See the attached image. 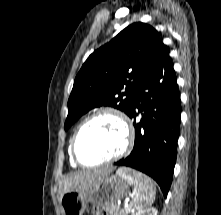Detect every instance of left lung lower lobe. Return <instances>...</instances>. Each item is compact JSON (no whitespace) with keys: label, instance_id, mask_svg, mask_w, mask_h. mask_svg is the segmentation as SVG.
Masks as SVG:
<instances>
[{"label":"left lung lower lobe","instance_id":"left-lung-lower-lobe-1","mask_svg":"<svg viewBox=\"0 0 221 215\" xmlns=\"http://www.w3.org/2000/svg\"><path fill=\"white\" fill-rule=\"evenodd\" d=\"M176 80L169 51L162 44L137 89L128 114L130 118L141 114V121H134V148L128 157L114 163L152 177L164 197L172 183L180 133L181 101Z\"/></svg>","mask_w":221,"mask_h":215}]
</instances>
